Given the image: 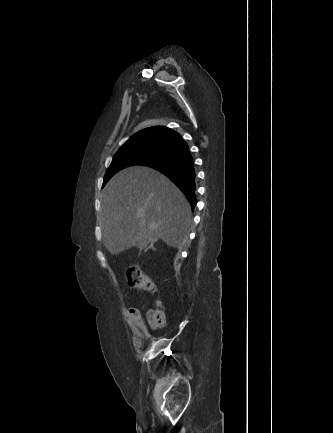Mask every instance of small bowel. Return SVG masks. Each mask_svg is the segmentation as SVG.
Masks as SVG:
<instances>
[{
  "instance_id": "1",
  "label": "small bowel",
  "mask_w": 333,
  "mask_h": 433,
  "mask_svg": "<svg viewBox=\"0 0 333 433\" xmlns=\"http://www.w3.org/2000/svg\"><path fill=\"white\" fill-rule=\"evenodd\" d=\"M127 319L135 337L141 342H147L150 339V333L145 326L140 310L135 307L128 308ZM149 325L153 331L157 329L150 321Z\"/></svg>"
}]
</instances>
